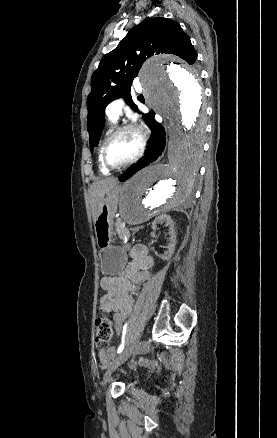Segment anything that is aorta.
<instances>
[{"label": "aorta", "mask_w": 277, "mask_h": 438, "mask_svg": "<svg viewBox=\"0 0 277 438\" xmlns=\"http://www.w3.org/2000/svg\"><path fill=\"white\" fill-rule=\"evenodd\" d=\"M140 79L150 106L168 121V163L135 174L121 201V217L132 225L178 208L190 197L202 155L205 116L198 73L178 59H148Z\"/></svg>", "instance_id": "obj_1"}]
</instances>
